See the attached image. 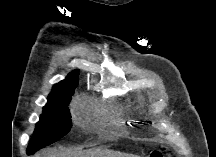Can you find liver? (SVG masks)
Segmentation results:
<instances>
[{
    "label": "liver",
    "mask_w": 216,
    "mask_h": 157,
    "mask_svg": "<svg viewBox=\"0 0 216 157\" xmlns=\"http://www.w3.org/2000/svg\"><path fill=\"white\" fill-rule=\"evenodd\" d=\"M35 157H130L114 151H67L63 152L57 149H48L43 153L35 154Z\"/></svg>",
    "instance_id": "6515ba94"
}]
</instances>
